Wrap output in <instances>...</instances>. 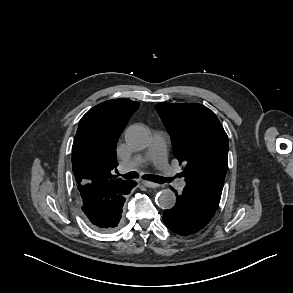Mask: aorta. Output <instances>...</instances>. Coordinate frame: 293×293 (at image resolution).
Listing matches in <instances>:
<instances>
[{
    "mask_svg": "<svg viewBox=\"0 0 293 293\" xmlns=\"http://www.w3.org/2000/svg\"><path fill=\"white\" fill-rule=\"evenodd\" d=\"M126 142L134 149H144L149 143V131L142 125H132L126 131ZM157 205L162 209H171L176 203L175 193L171 189H163L156 195Z\"/></svg>",
    "mask_w": 293,
    "mask_h": 293,
    "instance_id": "aorta-1",
    "label": "aorta"
}]
</instances>
